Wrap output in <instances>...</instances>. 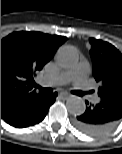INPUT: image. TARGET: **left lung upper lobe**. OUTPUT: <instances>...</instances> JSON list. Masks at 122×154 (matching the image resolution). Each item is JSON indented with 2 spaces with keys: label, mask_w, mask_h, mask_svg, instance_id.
I'll return each mask as SVG.
<instances>
[{
  "label": "left lung upper lobe",
  "mask_w": 122,
  "mask_h": 154,
  "mask_svg": "<svg viewBox=\"0 0 122 154\" xmlns=\"http://www.w3.org/2000/svg\"><path fill=\"white\" fill-rule=\"evenodd\" d=\"M93 76L100 83L98 96L122 94V54L108 42L91 38Z\"/></svg>",
  "instance_id": "obj_1"
}]
</instances>
